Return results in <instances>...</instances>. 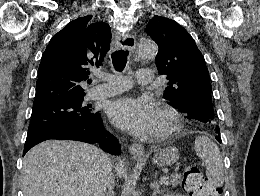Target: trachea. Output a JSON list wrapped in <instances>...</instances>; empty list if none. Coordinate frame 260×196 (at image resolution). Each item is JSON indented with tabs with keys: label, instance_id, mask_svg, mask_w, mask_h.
<instances>
[{
	"label": "trachea",
	"instance_id": "1",
	"mask_svg": "<svg viewBox=\"0 0 260 196\" xmlns=\"http://www.w3.org/2000/svg\"><path fill=\"white\" fill-rule=\"evenodd\" d=\"M125 42H123L124 44ZM113 66L116 71H123L128 60V50H116L111 55Z\"/></svg>",
	"mask_w": 260,
	"mask_h": 196
}]
</instances>
